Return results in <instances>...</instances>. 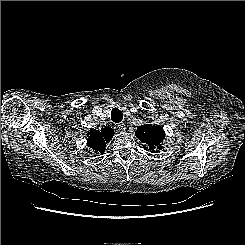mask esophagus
<instances>
[{"mask_svg":"<svg viewBox=\"0 0 245 245\" xmlns=\"http://www.w3.org/2000/svg\"><path fill=\"white\" fill-rule=\"evenodd\" d=\"M116 126H117V128H118L120 131H125V130H126L125 124H124L123 122L118 123Z\"/></svg>","mask_w":245,"mask_h":245,"instance_id":"esophagus-1","label":"esophagus"}]
</instances>
